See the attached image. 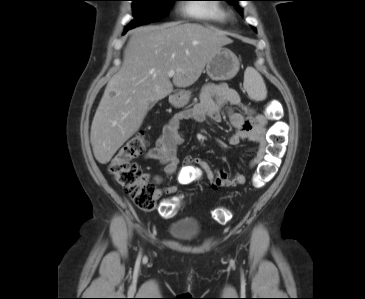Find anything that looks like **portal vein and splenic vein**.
Listing matches in <instances>:
<instances>
[{"label": "portal vein and splenic vein", "instance_id": "1", "mask_svg": "<svg viewBox=\"0 0 365 299\" xmlns=\"http://www.w3.org/2000/svg\"><path fill=\"white\" fill-rule=\"evenodd\" d=\"M175 75V71L174 70H170L169 72H168V76L171 78V77H173Z\"/></svg>", "mask_w": 365, "mask_h": 299}]
</instances>
